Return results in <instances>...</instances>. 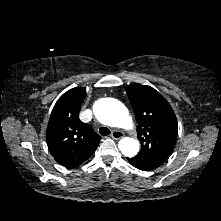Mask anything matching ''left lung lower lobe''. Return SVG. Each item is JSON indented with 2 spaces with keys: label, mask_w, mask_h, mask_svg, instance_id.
<instances>
[{
  "label": "left lung lower lobe",
  "mask_w": 221,
  "mask_h": 221,
  "mask_svg": "<svg viewBox=\"0 0 221 221\" xmlns=\"http://www.w3.org/2000/svg\"><path fill=\"white\" fill-rule=\"evenodd\" d=\"M129 162L131 165H133L134 167L143 170V171H149V170H154L156 169L158 166L156 164L144 161L140 158L137 157H133V158H128Z\"/></svg>",
  "instance_id": "obj_1"
}]
</instances>
